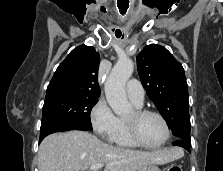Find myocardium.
Masks as SVG:
<instances>
[{
  "mask_svg": "<svg viewBox=\"0 0 223 171\" xmlns=\"http://www.w3.org/2000/svg\"><path fill=\"white\" fill-rule=\"evenodd\" d=\"M146 115H154V116L158 117L162 121V123L165 127V138L160 144H158V145L145 144L140 139V137L138 136V133H137V130H136V125H135L134 121L124 120L125 129L127 131V134L129 136V138L137 146L142 147V148H146V149H159V148L163 147L168 142V140L171 136V129H170L169 123L166 120V118L160 112H158L156 110L147 109V108H140V107L134 109L135 119H139V118H141L143 116H146Z\"/></svg>",
  "mask_w": 223,
  "mask_h": 171,
  "instance_id": "f54148a6",
  "label": "myocardium"
}]
</instances>
